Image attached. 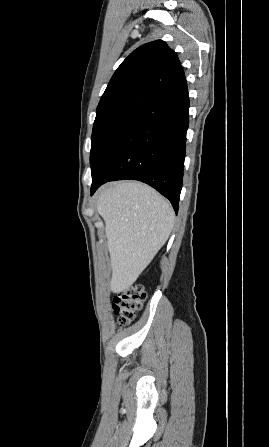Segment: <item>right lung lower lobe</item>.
<instances>
[{
  "label": "right lung lower lobe",
  "mask_w": 269,
  "mask_h": 447,
  "mask_svg": "<svg viewBox=\"0 0 269 447\" xmlns=\"http://www.w3.org/2000/svg\"><path fill=\"white\" fill-rule=\"evenodd\" d=\"M185 78L130 113L91 166V195L107 181L134 179L154 187L178 211L189 125Z\"/></svg>",
  "instance_id": "1"
}]
</instances>
